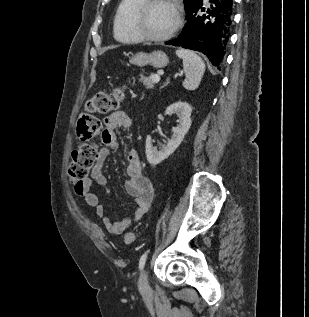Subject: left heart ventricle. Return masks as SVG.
Segmentation results:
<instances>
[{
  "label": "left heart ventricle",
  "instance_id": "1",
  "mask_svg": "<svg viewBox=\"0 0 309 317\" xmlns=\"http://www.w3.org/2000/svg\"><path fill=\"white\" fill-rule=\"evenodd\" d=\"M175 22L174 8L168 3H158L147 12L142 27L146 33L160 36L170 31Z\"/></svg>",
  "mask_w": 309,
  "mask_h": 317
}]
</instances>
